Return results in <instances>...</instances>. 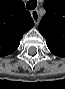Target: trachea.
<instances>
[{"mask_svg":"<svg viewBox=\"0 0 65 89\" xmlns=\"http://www.w3.org/2000/svg\"><path fill=\"white\" fill-rule=\"evenodd\" d=\"M37 6V1L36 0H29L27 3H26V8L28 10H34Z\"/></svg>","mask_w":65,"mask_h":89,"instance_id":"1","label":"trachea"}]
</instances>
